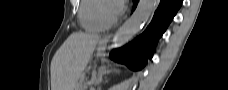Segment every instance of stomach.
Returning a JSON list of instances; mask_svg holds the SVG:
<instances>
[{
    "instance_id": "obj_1",
    "label": "stomach",
    "mask_w": 228,
    "mask_h": 90,
    "mask_svg": "<svg viewBox=\"0 0 228 90\" xmlns=\"http://www.w3.org/2000/svg\"><path fill=\"white\" fill-rule=\"evenodd\" d=\"M103 45H104V43L102 42V43H101V47H102Z\"/></svg>"
}]
</instances>
